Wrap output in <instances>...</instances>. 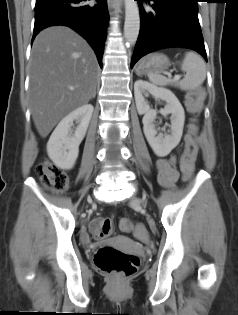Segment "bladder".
I'll list each match as a JSON object with an SVG mask.
<instances>
[{"label": "bladder", "mask_w": 238, "mask_h": 315, "mask_svg": "<svg viewBox=\"0 0 238 315\" xmlns=\"http://www.w3.org/2000/svg\"><path fill=\"white\" fill-rule=\"evenodd\" d=\"M121 249H131V248H121Z\"/></svg>", "instance_id": "obj_1"}]
</instances>
